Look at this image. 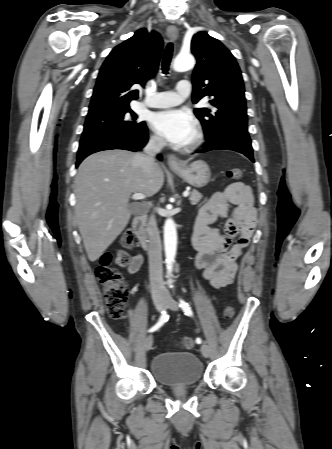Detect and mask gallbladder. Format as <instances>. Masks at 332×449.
<instances>
[{"label": "gallbladder", "instance_id": "1", "mask_svg": "<svg viewBox=\"0 0 332 449\" xmlns=\"http://www.w3.org/2000/svg\"><path fill=\"white\" fill-rule=\"evenodd\" d=\"M130 210H131V212H132V214H138L139 213V209H138V206L137 205H130Z\"/></svg>", "mask_w": 332, "mask_h": 449}]
</instances>
